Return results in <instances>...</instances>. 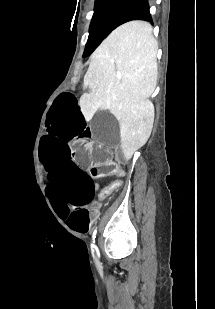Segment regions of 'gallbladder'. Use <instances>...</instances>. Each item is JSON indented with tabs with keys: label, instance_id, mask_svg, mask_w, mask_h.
<instances>
[{
	"label": "gallbladder",
	"instance_id": "1",
	"mask_svg": "<svg viewBox=\"0 0 215 309\" xmlns=\"http://www.w3.org/2000/svg\"><path fill=\"white\" fill-rule=\"evenodd\" d=\"M117 127L118 122L115 115L106 113L103 109H100L98 113H94L91 130L94 136H97L100 144H103L104 148L119 147L120 135Z\"/></svg>",
	"mask_w": 215,
	"mask_h": 309
}]
</instances>
